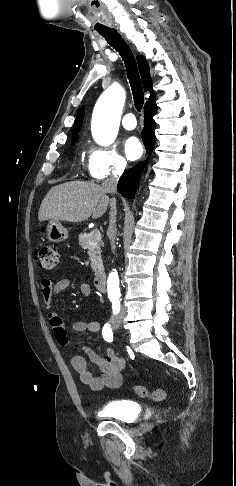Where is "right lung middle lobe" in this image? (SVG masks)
Instances as JSON below:
<instances>
[{"mask_svg":"<svg viewBox=\"0 0 236 486\" xmlns=\"http://www.w3.org/2000/svg\"><path fill=\"white\" fill-rule=\"evenodd\" d=\"M77 138H78V137L72 138V144H71V145H74V144L76 143Z\"/></svg>","mask_w":236,"mask_h":486,"instance_id":"right-lung-middle-lobe-1","label":"right lung middle lobe"}]
</instances>
